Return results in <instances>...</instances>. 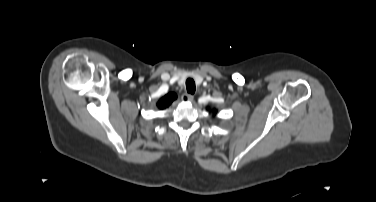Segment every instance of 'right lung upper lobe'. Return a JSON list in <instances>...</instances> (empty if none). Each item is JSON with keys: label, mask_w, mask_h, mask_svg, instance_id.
<instances>
[{"label": "right lung upper lobe", "mask_w": 376, "mask_h": 202, "mask_svg": "<svg viewBox=\"0 0 376 202\" xmlns=\"http://www.w3.org/2000/svg\"><path fill=\"white\" fill-rule=\"evenodd\" d=\"M177 98V95L175 93H168L163 98L159 100L157 103V106L159 109H165L168 107L175 99Z\"/></svg>", "instance_id": "1"}]
</instances>
